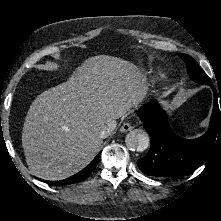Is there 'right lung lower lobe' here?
I'll list each match as a JSON object with an SVG mask.
<instances>
[{"label": "right lung lower lobe", "instance_id": "1", "mask_svg": "<svg viewBox=\"0 0 221 221\" xmlns=\"http://www.w3.org/2000/svg\"><path fill=\"white\" fill-rule=\"evenodd\" d=\"M99 157H100V152L91 161L90 164H88L84 169H82L81 171H79L78 173H76L75 175H73L69 178H66V179L60 180V181H44V182L54 185V186H64V185H70V184L81 182V181L85 180L93 172V170L95 169V167L97 165Z\"/></svg>", "mask_w": 221, "mask_h": 221}]
</instances>
